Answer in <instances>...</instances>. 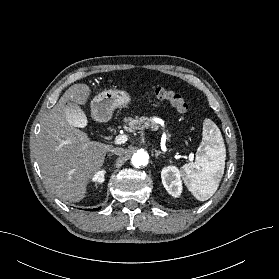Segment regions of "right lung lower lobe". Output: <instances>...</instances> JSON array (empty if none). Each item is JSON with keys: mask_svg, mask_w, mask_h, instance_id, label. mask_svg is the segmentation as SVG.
<instances>
[{"mask_svg": "<svg viewBox=\"0 0 279 279\" xmlns=\"http://www.w3.org/2000/svg\"><path fill=\"white\" fill-rule=\"evenodd\" d=\"M100 208L94 209V210H99ZM89 210V209H88Z\"/></svg>", "mask_w": 279, "mask_h": 279, "instance_id": "98d812e1", "label": "right lung lower lobe"}]
</instances>
